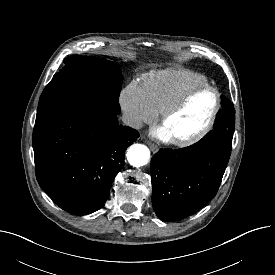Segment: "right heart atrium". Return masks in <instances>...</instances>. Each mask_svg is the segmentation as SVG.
I'll return each instance as SVG.
<instances>
[{
	"label": "right heart atrium",
	"mask_w": 275,
	"mask_h": 275,
	"mask_svg": "<svg viewBox=\"0 0 275 275\" xmlns=\"http://www.w3.org/2000/svg\"><path fill=\"white\" fill-rule=\"evenodd\" d=\"M120 104L131 127H139L155 118L156 113L148 102L143 86L135 82L122 90Z\"/></svg>",
	"instance_id": "1"
}]
</instances>
